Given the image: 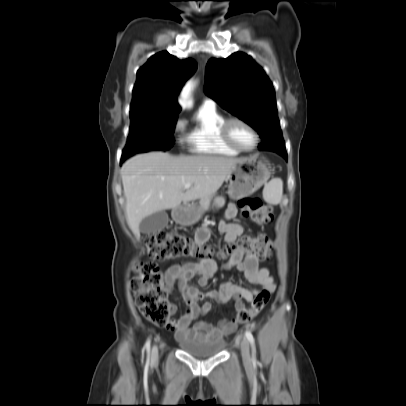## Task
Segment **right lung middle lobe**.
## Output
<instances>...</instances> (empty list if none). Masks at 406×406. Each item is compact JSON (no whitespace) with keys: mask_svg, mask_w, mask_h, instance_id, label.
I'll use <instances>...</instances> for the list:
<instances>
[{"mask_svg":"<svg viewBox=\"0 0 406 406\" xmlns=\"http://www.w3.org/2000/svg\"><path fill=\"white\" fill-rule=\"evenodd\" d=\"M130 131L121 159L133 154L154 150L166 151L173 144L177 116L150 113H130Z\"/></svg>","mask_w":406,"mask_h":406,"instance_id":"obj_1","label":"right lung middle lobe"}]
</instances>
